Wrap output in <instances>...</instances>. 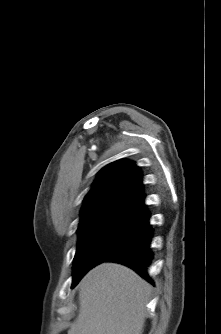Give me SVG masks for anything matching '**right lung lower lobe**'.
I'll use <instances>...</instances> for the list:
<instances>
[{"instance_id":"right-lung-lower-lobe-1","label":"right lung lower lobe","mask_w":221,"mask_h":334,"mask_svg":"<svg viewBox=\"0 0 221 334\" xmlns=\"http://www.w3.org/2000/svg\"><path fill=\"white\" fill-rule=\"evenodd\" d=\"M151 236L152 229L149 225L148 216L141 229L107 261L126 265L153 284L147 272L153 259V253L150 250Z\"/></svg>"}]
</instances>
